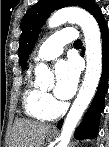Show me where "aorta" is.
<instances>
[{
    "label": "aorta",
    "mask_w": 109,
    "mask_h": 147,
    "mask_svg": "<svg viewBox=\"0 0 109 147\" xmlns=\"http://www.w3.org/2000/svg\"><path fill=\"white\" fill-rule=\"evenodd\" d=\"M66 22L76 23L83 30L87 69L80 91L63 124L58 147L68 146L78 121L95 94L102 73L101 33L95 18L84 9L67 7L55 12L48 20V26L55 28ZM35 75L36 83L40 86L53 81V74L43 63L36 66Z\"/></svg>",
    "instance_id": "762f6f07"
}]
</instances>
